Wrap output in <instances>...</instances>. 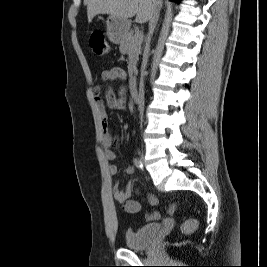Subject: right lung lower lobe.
I'll return each instance as SVG.
<instances>
[{
	"label": "right lung lower lobe",
	"mask_w": 267,
	"mask_h": 267,
	"mask_svg": "<svg viewBox=\"0 0 267 267\" xmlns=\"http://www.w3.org/2000/svg\"><path fill=\"white\" fill-rule=\"evenodd\" d=\"M171 1H177V2H179V0H171Z\"/></svg>",
	"instance_id": "98d812e1"
}]
</instances>
